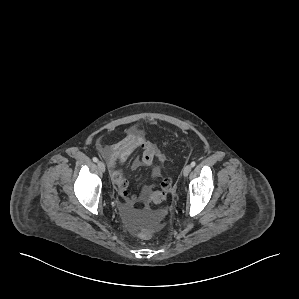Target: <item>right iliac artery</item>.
Wrapping results in <instances>:
<instances>
[{
  "label": "right iliac artery",
  "mask_w": 299,
  "mask_h": 299,
  "mask_svg": "<svg viewBox=\"0 0 299 299\" xmlns=\"http://www.w3.org/2000/svg\"><path fill=\"white\" fill-rule=\"evenodd\" d=\"M93 161H94V162H98V158H97V157H94V158H93Z\"/></svg>",
  "instance_id": "1"
}]
</instances>
